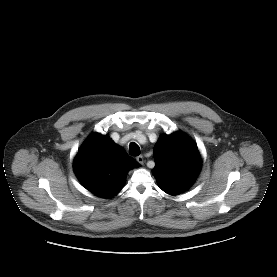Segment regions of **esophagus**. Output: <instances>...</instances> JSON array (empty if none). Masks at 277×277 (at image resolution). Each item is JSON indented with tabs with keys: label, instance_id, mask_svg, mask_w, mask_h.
I'll use <instances>...</instances> for the list:
<instances>
[{
	"label": "esophagus",
	"instance_id": "1",
	"mask_svg": "<svg viewBox=\"0 0 277 277\" xmlns=\"http://www.w3.org/2000/svg\"><path fill=\"white\" fill-rule=\"evenodd\" d=\"M136 160H137V162L140 163V164H143V163H144V158H143V156H141V155H140V156H137V157H136Z\"/></svg>",
	"mask_w": 277,
	"mask_h": 277
}]
</instances>
